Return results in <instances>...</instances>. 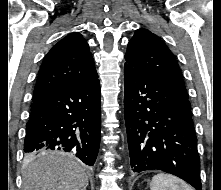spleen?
<instances>
[{
    "instance_id": "3e777b00",
    "label": "spleen",
    "mask_w": 221,
    "mask_h": 190,
    "mask_svg": "<svg viewBox=\"0 0 221 190\" xmlns=\"http://www.w3.org/2000/svg\"><path fill=\"white\" fill-rule=\"evenodd\" d=\"M150 190H194L181 179L160 173L152 178Z\"/></svg>"
}]
</instances>
